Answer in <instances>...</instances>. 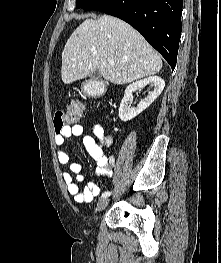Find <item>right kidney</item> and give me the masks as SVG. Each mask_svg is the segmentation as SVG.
I'll use <instances>...</instances> for the list:
<instances>
[{"instance_id": "1", "label": "right kidney", "mask_w": 221, "mask_h": 263, "mask_svg": "<svg viewBox=\"0 0 221 263\" xmlns=\"http://www.w3.org/2000/svg\"><path fill=\"white\" fill-rule=\"evenodd\" d=\"M145 86H149L152 91L148 93L146 98L140 101L136 108L130 107L132 93L143 89ZM164 86V80L158 76H151L130 84L126 88L124 97L120 103L119 118L126 122L136 117L155 101V99L162 93Z\"/></svg>"}]
</instances>
